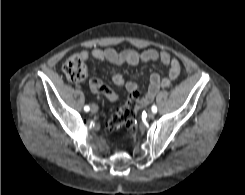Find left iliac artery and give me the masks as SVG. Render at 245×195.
I'll return each instance as SVG.
<instances>
[{"label":"left iliac artery","mask_w":245,"mask_h":195,"mask_svg":"<svg viewBox=\"0 0 245 195\" xmlns=\"http://www.w3.org/2000/svg\"><path fill=\"white\" fill-rule=\"evenodd\" d=\"M151 110H152L153 113H156L157 112V107L155 105H153Z\"/></svg>","instance_id":"obj_1"}]
</instances>
